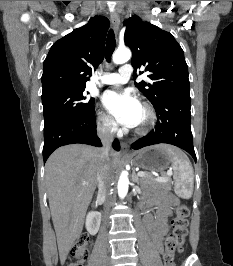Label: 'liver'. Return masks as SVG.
Returning <instances> with one entry per match:
<instances>
[{
	"label": "liver",
	"mask_w": 233,
	"mask_h": 266,
	"mask_svg": "<svg viewBox=\"0 0 233 266\" xmlns=\"http://www.w3.org/2000/svg\"><path fill=\"white\" fill-rule=\"evenodd\" d=\"M119 158V153H109L108 166L112 175ZM99 167V150L84 144L60 147L46 162L49 206L62 264L82 232L85 213L96 189ZM84 182L87 184L83 185Z\"/></svg>",
	"instance_id": "1"
}]
</instances>
